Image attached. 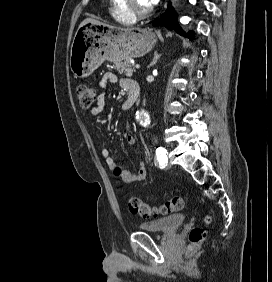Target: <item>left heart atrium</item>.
Segmentation results:
<instances>
[{"mask_svg": "<svg viewBox=\"0 0 272 282\" xmlns=\"http://www.w3.org/2000/svg\"><path fill=\"white\" fill-rule=\"evenodd\" d=\"M147 1L151 6L155 5L158 2V0H147Z\"/></svg>", "mask_w": 272, "mask_h": 282, "instance_id": "1", "label": "left heart atrium"}]
</instances>
